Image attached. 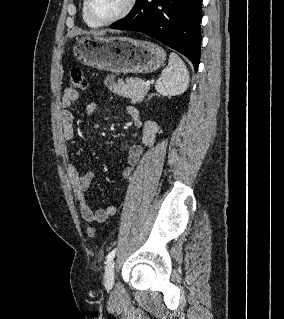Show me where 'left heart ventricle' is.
I'll return each mask as SVG.
<instances>
[{"mask_svg": "<svg viewBox=\"0 0 284 319\" xmlns=\"http://www.w3.org/2000/svg\"><path fill=\"white\" fill-rule=\"evenodd\" d=\"M126 0H91L92 15L99 20H108L117 15L125 5Z\"/></svg>", "mask_w": 284, "mask_h": 319, "instance_id": "b2bd125f", "label": "left heart ventricle"}]
</instances>
